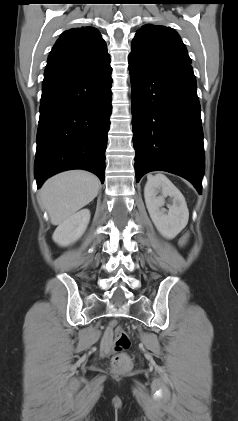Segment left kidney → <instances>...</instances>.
<instances>
[{"mask_svg": "<svg viewBox=\"0 0 238 421\" xmlns=\"http://www.w3.org/2000/svg\"><path fill=\"white\" fill-rule=\"evenodd\" d=\"M160 193V195H158ZM169 196L172 204L168 211L162 207ZM144 197L149 215L157 230L167 239L175 238L187 225L189 211L182 193L164 175L148 177Z\"/></svg>", "mask_w": 238, "mask_h": 421, "instance_id": "left-kidney-1", "label": "left kidney"}]
</instances>
